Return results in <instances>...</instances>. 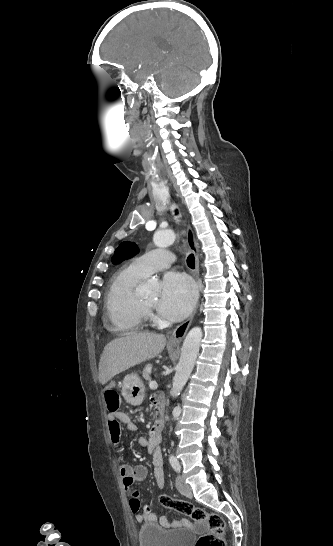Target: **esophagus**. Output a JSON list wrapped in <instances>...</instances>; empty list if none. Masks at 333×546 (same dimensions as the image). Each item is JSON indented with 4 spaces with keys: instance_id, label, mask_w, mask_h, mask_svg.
Instances as JSON below:
<instances>
[{
    "instance_id": "1",
    "label": "esophagus",
    "mask_w": 333,
    "mask_h": 546,
    "mask_svg": "<svg viewBox=\"0 0 333 546\" xmlns=\"http://www.w3.org/2000/svg\"><path fill=\"white\" fill-rule=\"evenodd\" d=\"M186 239H187V244H188L190 250L194 254V258H195L194 276H195L196 279H198V277H199V252H198V246H197V242H196V239H195V236H194V232H193L192 228L189 225L187 226ZM197 308H198V305L196 306V308L194 310V313L186 321H184L181 325H179L173 331V333L171 334V336L169 338V343L179 344L183 340L187 330L189 329V327H190V325L192 323V320H193L194 315H195V313L197 311Z\"/></svg>"
}]
</instances>
